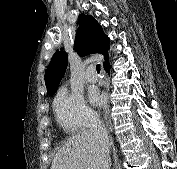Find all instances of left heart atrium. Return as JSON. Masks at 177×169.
<instances>
[{
    "instance_id": "39dd6f15",
    "label": "left heart atrium",
    "mask_w": 177,
    "mask_h": 169,
    "mask_svg": "<svg viewBox=\"0 0 177 169\" xmlns=\"http://www.w3.org/2000/svg\"><path fill=\"white\" fill-rule=\"evenodd\" d=\"M90 99H91V101H92L93 103L99 104L100 101H101V96H100V94H99L98 91L92 90V91L90 92Z\"/></svg>"
}]
</instances>
